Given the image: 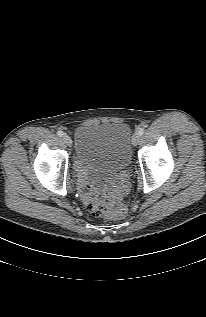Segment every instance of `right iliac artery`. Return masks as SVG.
<instances>
[{
	"mask_svg": "<svg viewBox=\"0 0 206 317\" xmlns=\"http://www.w3.org/2000/svg\"><path fill=\"white\" fill-rule=\"evenodd\" d=\"M57 135L60 136V137H62V136L64 135V133H63L62 131H58V132H57Z\"/></svg>",
	"mask_w": 206,
	"mask_h": 317,
	"instance_id": "1",
	"label": "right iliac artery"
}]
</instances>
